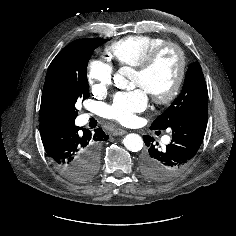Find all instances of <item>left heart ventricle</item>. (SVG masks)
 <instances>
[{
	"instance_id": "left-heart-ventricle-1",
	"label": "left heart ventricle",
	"mask_w": 236,
	"mask_h": 236,
	"mask_svg": "<svg viewBox=\"0 0 236 236\" xmlns=\"http://www.w3.org/2000/svg\"><path fill=\"white\" fill-rule=\"evenodd\" d=\"M178 66L177 53L174 50H167L159 57L151 71L146 74L135 72L134 84L150 94H165L173 85Z\"/></svg>"
}]
</instances>
